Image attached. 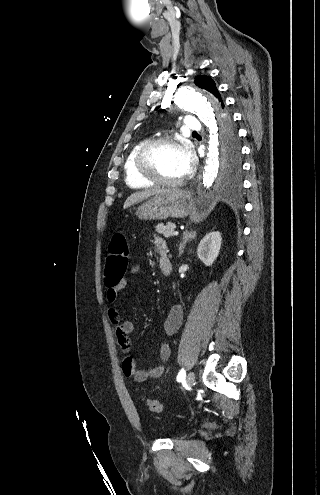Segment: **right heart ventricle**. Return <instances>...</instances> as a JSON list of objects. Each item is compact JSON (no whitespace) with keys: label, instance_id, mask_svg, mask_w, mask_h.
Masks as SVG:
<instances>
[{"label":"right heart ventricle","instance_id":"1","mask_svg":"<svg viewBox=\"0 0 320 495\" xmlns=\"http://www.w3.org/2000/svg\"><path fill=\"white\" fill-rule=\"evenodd\" d=\"M146 143L141 141L137 143L128 153L124 162V177L126 184L135 189L152 187L154 184L138 175L135 168V159L140 148Z\"/></svg>","mask_w":320,"mask_h":495}]
</instances>
